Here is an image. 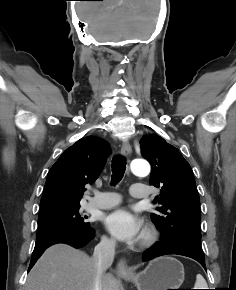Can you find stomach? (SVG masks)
<instances>
[{
	"label": "stomach",
	"instance_id": "1",
	"mask_svg": "<svg viewBox=\"0 0 236 290\" xmlns=\"http://www.w3.org/2000/svg\"><path fill=\"white\" fill-rule=\"evenodd\" d=\"M184 276L183 264L173 257L165 256L150 261L140 273L122 277L134 283L138 290H169L179 289Z\"/></svg>",
	"mask_w": 236,
	"mask_h": 290
}]
</instances>
